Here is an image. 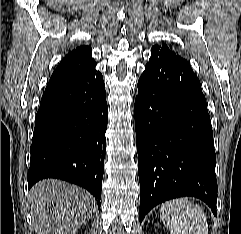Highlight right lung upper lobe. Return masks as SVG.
I'll list each match as a JSON object with an SVG mask.
<instances>
[{
    "instance_id": "cb5924a9",
    "label": "right lung upper lobe",
    "mask_w": 241,
    "mask_h": 234,
    "mask_svg": "<svg viewBox=\"0 0 241 234\" xmlns=\"http://www.w3.org/2000/svg\"><path fill=\"white\" fill-rule=\"evenodd\" d=\"M92 58V49L89 46H80L69 52L53 72L50 82L62 80L82 73L95 65Z\"/></svg>"
}]
</instances>
